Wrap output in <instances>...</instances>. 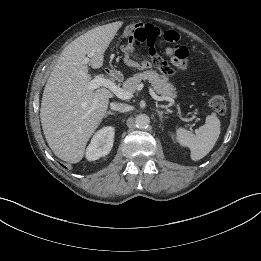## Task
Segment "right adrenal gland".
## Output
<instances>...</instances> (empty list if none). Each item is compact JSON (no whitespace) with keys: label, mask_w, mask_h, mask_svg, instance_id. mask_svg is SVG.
<instances>
[{"label":"right adrenal gland","mask_w":261,"mask_h":261,"mask_svg":"<svg viewBox=\"0 0 261 261\" xmlns=\"http://www.w3.org/2000/svg\"><path fill=\"white\" fill-rule=\"evenodd\" d=\"M115 114H116L115 112L108 111V112L106 113V116H105V117H107L108 115H115Z\"/></svg>","instance_id":"obj_1"}]
</instances>
